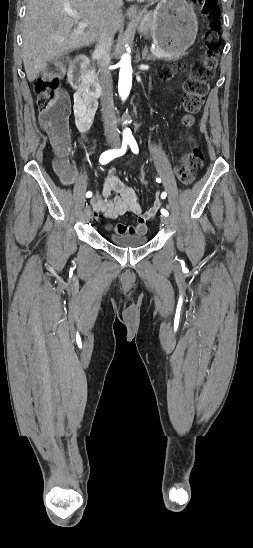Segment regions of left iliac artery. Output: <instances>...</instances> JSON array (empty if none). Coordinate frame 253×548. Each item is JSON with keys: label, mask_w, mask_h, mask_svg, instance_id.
<instances>
[{"label": "left iliac artery", "mask_w": 253, "mask_h": 548, "mask_svg": "<svg viewBox=\"0 0 253 548\" xmlns=\"http://www.w3.org/2000/svg\"><path fill=\"white\" fill-rule=\"evenodd\" d=\"M128 143H129V145H130V148H131L132 152L135 153V154H137V153L139 152V149H138V145H137V142L135 141V139H133V138L130 139V140L128 141ZM156 181H157V182H161V179H160V178H156ZM166 196H167V194H166L165 192H163V193L161 194V198H162V199L166 198ZM161 214L164 215V216H168V215H169L168 211L165 210V209H163V208L161 209Z\"/></svg>", "instance_id": "1"}]
</instances>
